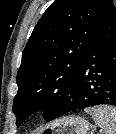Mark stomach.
Segmentation results:
<instances>
[{
	"label": "stomach",
	"mask_w": 116,
	"mask_h": 134,
	"mask_svg": "<svg viewBox=\"0 0 116 134\" xmlns=\"http://www.w3.org/2000/svg\"><path fill=\"white\" fill-rule=\"evenodd\" d=\"M89 130V122L84 118L67 116L51 122L39 134H88Z\"/></svg>",
	"instance_id": "obj_1"
}]
</instances>
